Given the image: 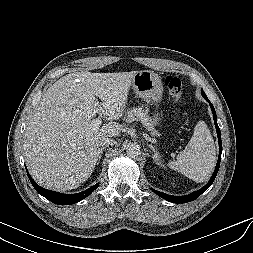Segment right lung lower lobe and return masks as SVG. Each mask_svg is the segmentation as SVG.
I'll return each instance as SVG.
<instances>
[{
    "label": "right lung lower lobe",
    "instance_id": "right-lung-lower-lobe-1",
    "mask_svg": "<svg viewBox=\"0 0 253 253\" xmlns=\"http://www.w3.org/2000/svg\"><path fill=\"white\" fill-rule=\"evenodd\" d=\"M27 174H28L29 180L32 183L35 190L40 195L44 196L45 198H47L51 202L58 204V205H69V204H74L76 202H79V201L83 200L84 198H86L87 196H89L99 185V183H97L94 186H92L91 188H89L83 192L67 195V194H61V193L47 190V189L40 187L39 185H37L35 183V181L31 178V176L29 175L28 172H27Z\"/></svg>",
    "mask_w": 253,
    "mask_h": 253
}]
</instances>
